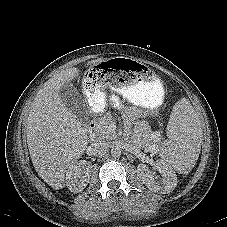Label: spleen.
<instances>
[{"label": "spleen", "instance_id": "1", "mask_svg": "<svg viewBox=\"0 0 227 227\" xmlns=\"http://www.w3.org/2000/svg\"><path fill=\"white\" fill-rule=\"evenodd\" d=\"M168 136L169 146L163 150L168 164L180 174L190 172L199 156L202 129L188 102L176 103L168 125Z\"/></svg>", "mask_w": 227, "mask_h": 227}]
</instances>
